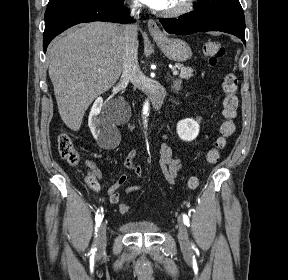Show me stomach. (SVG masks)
<instances>
[{
  "label": "stomach",
  "mask_w": 288,
  "mask_h": 280,
  "mask_svg": "<svg viewBox=\"0 0 288 280\" xmlns=\"http://www.w3.org/2000/svg\"><path fill=\"white\" fill-rule=\"evenodd\" d=\"M161 51L170 60L184 62L191 58L190 46L183 40L169 37H153Z\"/></svg>",
  "instance_id": "1"
}]
</instances>
